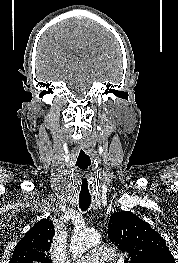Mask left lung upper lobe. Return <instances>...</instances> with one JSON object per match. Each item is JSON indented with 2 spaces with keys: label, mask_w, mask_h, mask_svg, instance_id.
I'll use <instances>...</instances> for the list:
<instances>
[{
  "label": "left lung upper lobe",
  "mask_w": 178,
  "mask_h": 263,
  "mask_svg": "<svg viewBox=\"0 0 178 263\" xmlns=\"http://www.w3.org/2000/svg\"><path fill=\"white\" fill-rule=\"evenodd\" d=\"M108 227L110 241L129 255L124 263H175L161 235L132 212L113 213Z\"/></svg>",
  "instance_id": "obj_1"
}]
</instances>
